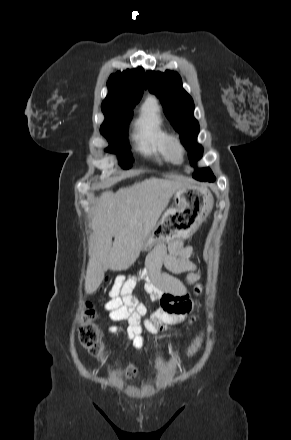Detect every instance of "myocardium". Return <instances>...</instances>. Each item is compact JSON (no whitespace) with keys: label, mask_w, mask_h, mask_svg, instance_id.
<instances>
[{"label":"myocardium","mask_w":291,"mask_h":440,"mask_svg":"<svg viewBox=\"0 0 291 440\" xmlns=\"http://www.w3.org/2000/svg\"><path fill=\"white\" fill-rule=\"evenodd\" d=\"M167 144L169 159L175 163H180L183 160L184 148L179 138L175 135H169Z\"/></svg>","instance_id":"obj_1"}]
</instances>
